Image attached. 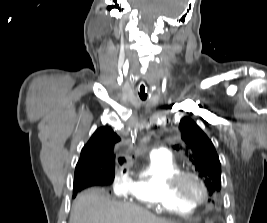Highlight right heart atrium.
Instances as JSON below:
<instances>
[{
	"label": "right heart atrium",
	"mask_w": 267,
	"mask_h": 223,
	"mask_svg": "<svg viewBox=\"0 0 267 223\" xmlns=\"http://www.w3.org/2000/svg\"><path fill=\"white\" fill-rule=\"evenodd\" d=\"M129 179L121 171H117L113 176L112 188L115 194L120 195L124 194L128 186Z\"/></svg>",
	"instance_id": "obj_1"
}]
</instances>
